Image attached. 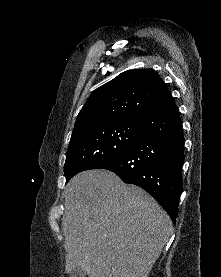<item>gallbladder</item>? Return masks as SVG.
<instances>
[{
    "instance_id": "obj_1",
    "label": "gallbladder",
    "mask_w": 221,
    "mask_h": 277,
    "mask_svg": "<svg viewBox=\"0 0 221 277\" xmlns=\"http://www.w3.org/2000/svg\"><path fill=\"white\" fill-rule=\"evenodd\" d=\"M69 277H86V273L81 268L74 269Z\"/></svg>"
}]
</instances>
